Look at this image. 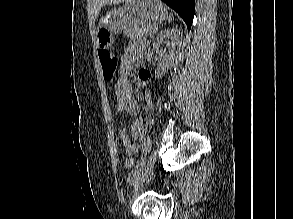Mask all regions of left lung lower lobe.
<instances>
[{"mask_svg":"<svg viewBox=\"0 0 293 219\" xmlns=\"http://www.w3.org/2000/svg\"><path fill=\"white\" fill-rule=\"evenodd\" d=\"M172 9H174L185 21L188 30H190L195 13L194 0H162Z\"/></svg>","mask_w":293,"mask_h":219,"instance_id":"0a47b994","label":"left lung lower lobe"}]
</instances>
